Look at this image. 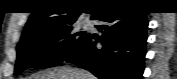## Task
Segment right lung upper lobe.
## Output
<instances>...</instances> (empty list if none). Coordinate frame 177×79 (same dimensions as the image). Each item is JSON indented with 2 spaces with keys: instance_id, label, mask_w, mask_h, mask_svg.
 I'll use <instances>...</instances> for the list:
<instances>
[{
  "instance_id": "right-lung-upper-lobe-1",
  "label": "right lung upper lobe",
  "mask_w": 177,
  "mask_h": 79,
  "mask_svg": "<svg viewBox=\"0 0 177 79\" xmlns=\"http://www.w3.org/2000/svg\"><path fill=\"white\" fill-rule=\"evenodd\" d=\"M110 4L92 5L90 13L92 18ZM81 13L76 0H40L33 7L22 38L31 33L48 27L61 26L74 23Z\"/></svg>"
}]
</instances>
